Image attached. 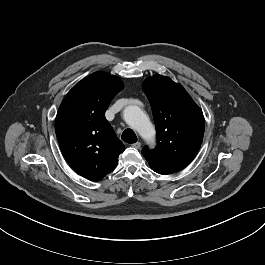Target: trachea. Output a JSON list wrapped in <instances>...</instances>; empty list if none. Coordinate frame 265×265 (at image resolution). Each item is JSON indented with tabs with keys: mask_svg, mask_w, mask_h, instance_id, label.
<instances>
[{
	"mask_svg": "<svg viewBox=\"0 0 265 265\" xmlns=\"http://www.w3.org/2000/svg\"><path fill=\"white\" fill-rule=\"evenodd\" d=\"M122 140L125 141L126 143L133 144L137 141V136L133 130L126 129L122 133Z\"/></svg>",
	"mask_w": 265,
	"mask_h": 265,
	"instance_id": "3493384b",
	"label": "trachea"
}]
</instances>
